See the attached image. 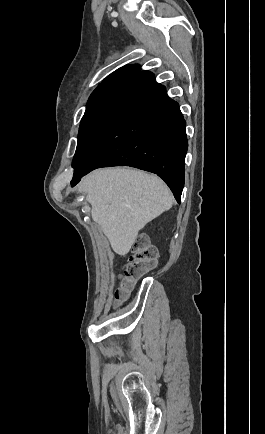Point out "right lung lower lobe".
Here are the masks:
<instances>
[{"label":"right lung lower lobe","instance_id":"right-lung-lower-lobe-1","mask_svg":"<svg viewBox=\"0 0 265 434\" xmlns=\"http://www.w3.org/2000/svg\"><path fill=\"white\" fill-rule=\"evenodd\" d=\"M186 123L176 101L153 73L136 74L124 88L81 162L71 185L90 171L131 166L157 174L180 202L188 148Z\"/></svg>","mask_w":265,"mask_h":434}]
</instances>
